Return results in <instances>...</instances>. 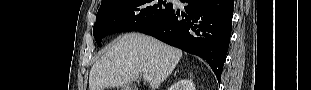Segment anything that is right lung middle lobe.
<instances>
[{"label": "right lung middle lobe", "mask_w": 311, "mask_h": 90, "mask_svg": "<svg viewBox=\"0 0 311 90\" xmlns=\"http://www.w3.org/2000/svg\"><path fill=\"white\" fill-rule=\"evenodd\" d=\"M173 9L163 0H106L101 3L93 35L101 46L102 39L116 32L137 31L161 20Z\"/></svg>", "instance_id": "obj_1"}]
</instances>
